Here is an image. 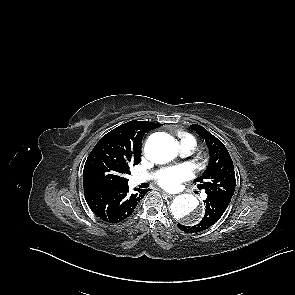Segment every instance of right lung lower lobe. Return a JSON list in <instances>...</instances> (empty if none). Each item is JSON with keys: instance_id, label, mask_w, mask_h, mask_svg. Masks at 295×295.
<instances>
[{"instance_id": "right-lung-lower-lobe-1", "label": "right lung lower lobe", "mask_w": 295, "mask_h": 295, "mask_svg": "<svg viewBox=\"0 0 295 295\" xmlns=\"http://www.w3.org/2000/svg\"><path fill=\"white\" fill-rule=\"evenodd\" d=\"M129 193L128 185L120 187H88L84 195L90 209L103 221L118 223L129 217L147 190Z\"/></svg>"}]
</instances>
